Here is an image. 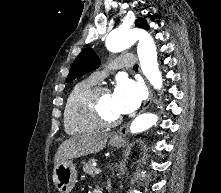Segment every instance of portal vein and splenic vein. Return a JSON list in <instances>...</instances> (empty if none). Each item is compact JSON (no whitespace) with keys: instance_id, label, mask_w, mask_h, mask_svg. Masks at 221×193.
<instances>
[{"instance_id":"obj_1","label":"portal vein and splenic vein","mask_w":221,"mask_h":193,"mask_svg":"<svg viewBox=\"0 0 221 193\" xmlns=\"http://www.w3.org/2000/svg\"><path fill=\"white\" fill-rule=\"evenodd\" d=\"M94 173H95V174H100V173H101V169H100V168H96V169L94 170Z\"/></svg>"}]
</instances>
